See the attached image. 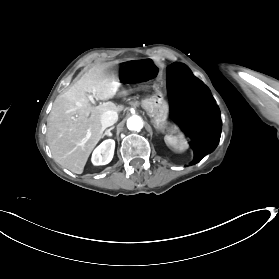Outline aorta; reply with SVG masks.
Returning a JSON list of instances; mask_svg holds the SVG:
<instances>
[{"mask_svg": "<svg viewBox=\"0 0 279 279\" xmlns=\"http://www.w3.org/2000/svg\"><path fill=\"white\" fill-rule=\"evenodd\" d=\"M127 127L129 130H132V131H140L143 127V121H142L141 117H139L137 115L131 116L127 120Z\"/></svg>", "mask_w": 279, "mask_h": 279, "instance_id": "1", "label": "aorta"}]
</instances>
